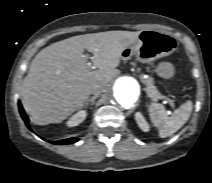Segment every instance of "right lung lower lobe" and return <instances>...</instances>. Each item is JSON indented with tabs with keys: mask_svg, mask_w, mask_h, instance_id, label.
<instances>
[{
	"mask_svg": "<svg viewBox=\"0 0 212 183\" xmlns=\"http://www.w3.org/2000/svg\"><path fill=\"white\" fill-rule=\"evenodd\" d=\"M18 106H19V111H20V114H21L23 120L25 121L26 125L29 127V119L26 116L20 102H18ZM78 140H79L78 138H69V139H65V140L56 141V142H53V143L59 144V145L72 144V143L77 142Z\"/></svg>",
	"mask_w": 212,
	"mask_h": 183,
	"instance_id": "obj_1",
	"label": "right lung lower lobe"
}]
</instances>
